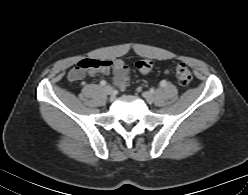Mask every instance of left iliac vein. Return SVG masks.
Wrapping results in <instances>:
<instances>
[{
	"label": "left iliac vein",
	"instance_id": "4c4485c4",
	"mask_svg": "<svg viewBox=\"0 0 248 195\" xmlns=\"http://www.w3.org/2000/svg\"><path fill=\"white\" fill-rule=\"evenodd\" d=\"M142 96L146 99L148 103H153L154 102V96L150 92H143Z\"/></svg>",
	"mask_w": 248,
	"mask_h": 195
}]
</instances>
